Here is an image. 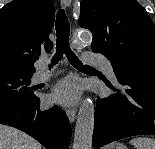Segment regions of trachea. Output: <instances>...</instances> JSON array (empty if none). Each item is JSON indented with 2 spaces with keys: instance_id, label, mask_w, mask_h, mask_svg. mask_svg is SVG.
Instances as JSON below:
<instances>
[{
  "instance_id": "trachea-1",
  "label": "trachea",
  "mask_w": 155,
  "mask_h": 149,
  "mask_svg": "<svg viewBox=\"0 0 155 149\" xmlns=\"http://www.w3.org/2000/svg\"><path fill=\"white\" fill-rule=\"evenodd\" d=\"M56 53L51 60L52 65L57 64L63 54L66 55L67 59L77 69H94L91 66L83 65V63L79 60V58L75 55V53L71 50L69 45V33H70V24L68 18L63 9H60L57 13L56 17Z\"/></svg>"
}]
</instances>
